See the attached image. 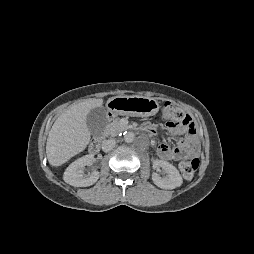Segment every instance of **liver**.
Listing matches in <instances>:
<instances>
[{"label":"liver","instance_id":"liver-1","mask_svg":"<svg viewBox=\"0 0 254 254\" xmlns=\"http://www.w3.org/2000/svg\"><path fill=\"white\" fill-rule=\"evenodd\" d=\"M102 105L103 99L91 98L73 105L56 119L46 143L50 165L61 166L86 148L90 141L86 117L91 109Z\"/></svg>","mask_w":254,"mask_h":254}]
</instances>
